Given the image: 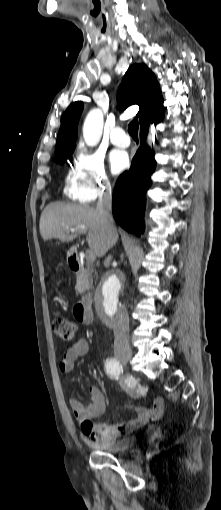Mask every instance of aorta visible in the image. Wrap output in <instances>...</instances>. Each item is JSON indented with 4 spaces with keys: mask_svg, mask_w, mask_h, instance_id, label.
I'll return each mask as SVG.
<instances>
[{
    "mask_svg": "<svg viewBox=\"0 0 221 510\" xmlns=\"http://www.w3.org/2000/svg\"><path fill=\"white\" fill-rule=\"evenodd\" d=\"M103 131V114L100 109L91 110L83 124V137L87 145L95 146ZM123 279L117 274L107 276L97 291L99 312L114 321L120 312L119 296L123 290Z\"/></svg>",
    "mask_w": 221,
    "mask_h": 510,
    "instance_id": "762f6f07",
    "label": "aorta"
}]
</instances>
